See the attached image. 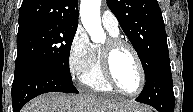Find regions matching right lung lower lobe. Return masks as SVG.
Segmentation results:
<instances>
[{"label":"right lung lower lobe","instance_id":"98d812e1","mask_svg":"<svg viewBox=\"0 0 193 112\" xmlns=\"http://www.w3.org/2000/svg\"><path fill=\"white\" fill-rule=\"evenodd\" d=\"M78 93L65 76L47 68H30L14 76L12 85L13 112H19L25 103L47 92Z\"/></svg>","mask_w":193,"mask_h":112}]
</instances>
